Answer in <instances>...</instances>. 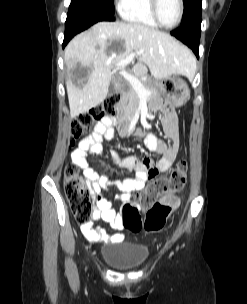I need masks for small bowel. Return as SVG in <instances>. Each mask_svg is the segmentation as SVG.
Wrapping results in <instances>:
<instances>
[{
  "instance_id": "1",
  "label": "small bowel",
  "mask_w": 247,
  "mask_h": 304,
  "mask_svg": "<svg viewBox=\"0 0 247 304\" xmlns=\"http://www.w3.org/2000/svg\"><path fill=\"white\" fill-rule=\"evenodd\" d=\"M151 107L155 111L162 112L163 131L169 142L166 143L154 134L146 136V147L159 155L155 166L149 158L140 160L135 156H128L120 159L117 152H111L113 162L121 169L134 173L133 177L124 179L116 185L119 194L115 196V199L120 202L129 201L131 194L143 190L149 179L154 178L158 173L167 172L173 165L179 150L178 118L175 110L169 104H163L159 100L154 101ZM117 122L116 117L105 118L96 127L94 133L81 141L79 146L71 152V160L75 166L82 169L95 201L92 220L102 219L113 229L121 231L125 227L122 214L113 208L111 202L103 194L110 185L108 174H100L96 168L90 167L86 158L88 152L94 155L102 153L103 141H110L115 137ZM80 229L90 242L117 243L123 239L121 233L109 235L102 229L94 228L91 221L81 225Z\"/></svg>"
}]
</instances>
